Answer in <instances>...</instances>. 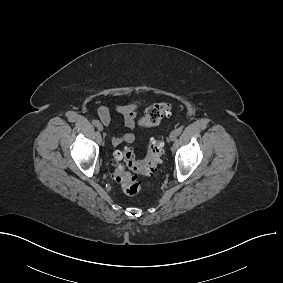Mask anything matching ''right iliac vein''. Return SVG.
I'll return each instance as SVG.
<instances>
[{
	"instance_id": "right-iliac-vein-1",
	"label": "right iliac vein",
	"mask_w": 283,
	"mask_h": 283,
	"mask_svg": "<svg viewBox=\"0 0 283 283\" xmlns=\"http://www.w3.org/2000/svg\"><path fill=\"white\" fill-rule=\"evenodd\" d=\"M97 129H98L99 131H103V126H102V124H99V125L97 126Z\"/></svg>"
}]
</instances>
